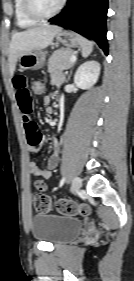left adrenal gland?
Listing matches in <instances>:
<instances>
[{"label": "left adrenal gland", "instance_id": "a2214340", "mask_svg": "<svg viewBox=\"0 0 134 281\" xmlns=\"http://www.w3.org/2000/svg\"><path fill=\"white\" fill-rule=\"evenodd\" d=\"M71 74H72V71H70V74L68 76V80H70Z\"/></svg>", "mask_w": 134, "mask_h": 281}]
</instances>
